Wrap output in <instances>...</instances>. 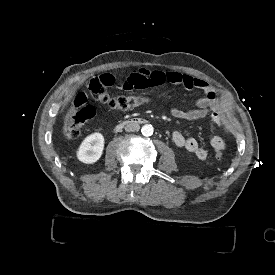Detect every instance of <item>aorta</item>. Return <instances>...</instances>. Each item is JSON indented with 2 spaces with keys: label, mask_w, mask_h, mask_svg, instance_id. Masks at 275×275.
<instances>
[{
  "label": "aorta",
  "mask_w": 275,
  "mask_h": 275,
  "mask_svg": "<svg viewBox=\"0 0 275 275\" xmlns=\"http://www.w3.org/2000/svg\"><path fill=\"white\" fill-rule=\"evenodd\" d=\"M153 132H154V128L151 124H145L141 129V133L145 137L153 135Z\"/></svg>",
  "instance_id": "1"
}]
</instances>
